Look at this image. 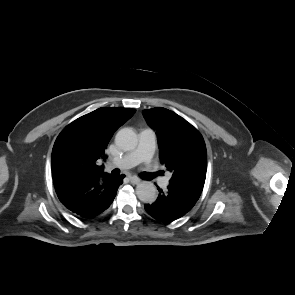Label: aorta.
Wrapping results in <instances>:
<instances>
[{
	"mask_svg": "<svg viewBox=\"0 0 295 295\" xmlns=\"http://www.w3.org/2000/svg\"><path fill=\"white\" fill-rule=\"evenodd\" d=\"M115 143L123 150H133L138 144V138L131 128H123L115 136ZM136 194L140 201L152 204L157 199L155 185L149 181H143L136 186Z\"/></svg>",
	"mask_w": 295,
	"mask_h": 295,
	"instance_id": "obj_1",
	"label": "aorta"
}]
</instances>
